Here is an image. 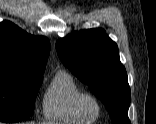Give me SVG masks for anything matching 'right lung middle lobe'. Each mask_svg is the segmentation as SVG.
I'll list each match as a JSON object with an SVG mask.
<instances>
[{
  "label": "right lung middle lobe",
  "mask_w": 156,
  "mask_h": 124,
  "mask_svg": "<svg viewBox=\"0 0 156 124\" xmlns=\"http://www.w3.org/2000/svg\"><path fill=\"white\" fill-rule=\"evenodd\" d=\"M42 75L0 69V121L19 122L34 112Z\"/></svg>",
  "instance_id": "obj_1"
}]
</instances>
